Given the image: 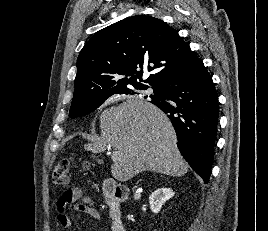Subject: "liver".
<instances>
[{
	"label": "liver",
	"mask_w": 268,
	"mask_h": 231,
	"mask_svg": "<svg viewBox=\"0 0 268 231\" xmlns=\"http://www.w3.org/2000/svg\"><path fill=\"white\" fill-rule=\"evenodd\" d=\"M100 129V137L85 149L98 153L113 148L112 156L118 160L111 166V174L120 182L146 170L173 177L188 171L170 120L150 102L132 97L105 109Z\"/></svg>",
	"instance_id": "liver-1"
}]
</instances>
